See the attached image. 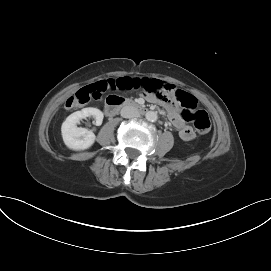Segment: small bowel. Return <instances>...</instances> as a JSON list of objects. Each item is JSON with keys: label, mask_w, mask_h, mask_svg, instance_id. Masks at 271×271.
<instances>
[{"label": "small bowel", "mask_w": 271, "mask_h": 271, "mask_svg": "<svg viewBox=\"0 0 271 271\" xmlns=\"http://www.w3.org/2000/svg\"><path fill=\"white\" fill-rule=\"evenodd\" d=\"M110 83V81H100L95 86L100 89H106ZM138 89L142 91V96L149 102H152L153 105H165L169 119L178 130L179 137L182 140L190 141L194 139L195 133L193 129L186 124L181 116L178 102L175 100L176 90L172 84L164 82L160 76H139Z\"/></svg>", "instance_id": "c3829d8e"}]
</instances>
